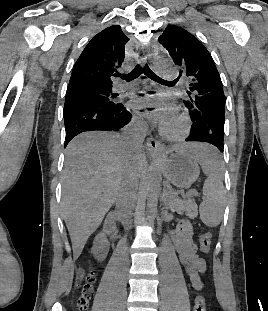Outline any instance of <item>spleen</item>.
I'll return each mask as SVG.
<instances>
[{
    "instance_id": "obj_1",
    "label": "spleen",
    "mask_w": 268,
    "mask_h": 311,
    "mask_svg": "<svg viewBox=\"0 0 268 311\" xmlns=\"http://www.w3.org/2000/svg\"><path fill=\"white\" fill-rule=\"evenodd\" d=\"M188 145L193 147V157L207 176L203 185L204 200L199 206L200 218L206 226L216 227L222 220L225 206L222 158L214 145L205 144V140H189Z\"/></svg>"
}]
</instances>
